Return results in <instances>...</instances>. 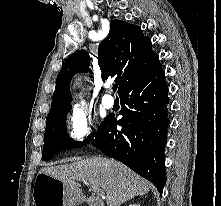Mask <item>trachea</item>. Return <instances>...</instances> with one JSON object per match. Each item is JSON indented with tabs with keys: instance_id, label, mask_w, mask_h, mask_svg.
<instances>
[{
	"instance_id": "3493384b",
	"label": "trachea",
	"mask_w": 221,
	"mask_h": 206,
	"mask_svg": "<svg viewBox=\"0 0 221 206\" xmlns=\"http://www.w3.org/2000/svg\"><path fill=\"white\" fill-rule=\"evenodd\" d=\"M117 88H118V85H117V84H114V85H113V91L116 92Z\"/></svg>"
}]
</instances>
